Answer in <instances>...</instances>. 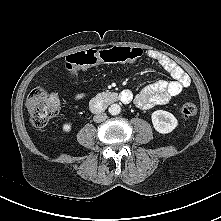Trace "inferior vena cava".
<instances>
[{
	"label": "inferior vena cava",
	"mask_w": 221,
	"mask_h": 221,
	"mask_svg": "<svg viewBox=\"0 0 221 221\" xmlns=\"http://www.w3.org/2000/svg\"><path fill=\"white\" fill-rule=\"evenodd\" d=\"M107 119V115L105 113L97 114L93 117L94 122L101 123Z\"/></svg>",
	"instance_id": "obj_1"
}]
</instances>
